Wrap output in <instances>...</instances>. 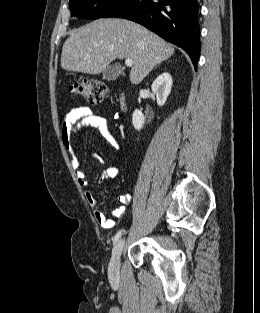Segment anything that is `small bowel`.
I'll return each mask as SVG.
<instances>
[{
  "mask_svg": "<svg viewBox=\"0 0 260 313\" xmlns=\"http://www.w3.org/2000/svg\"><path fill=\"white\" fill-rule=\"evenodd\" d=\"M109 122L110 119L108 117L94 113L87 106H79L67 113L61 128V141L72 156L71 167L74 170L75 177L85 192L86 200L93 210L97 223L105 229L113 228L116 220L126 213L127 205L132 201V196L130 194L120 196L119 200L122 205L111 212V217H107L99 208L98 202L90 190L86 174L81 169L80 161L74 154L73 140L80 130L92 127L99 130L101 136L112 148L119 150V142L110 132ZM119 172L120 167L118 165L109 166L103 171L101 180L116 178Z\"/></svg>",
  "mask_w": 260,
  "mask_h": 313,
  "instance_id": "1",
  "label": "small bowel"
}]
</instances>
